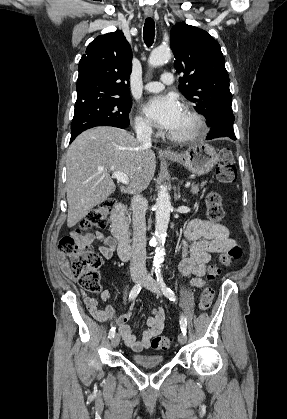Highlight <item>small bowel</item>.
I'll return each mask as SVG.
<instances>
[{"label":"small bowel","mask_w":287,"mask_h":419,"mask_svg":"<svg viewBox=\"0 0 287 419\" xmlns=\"http://www.w3.org/2000/svg\"><path fill=\"white\" fill-rule=\"evenodd\" d=\"M185 236L186 240L182 244V258L179 270L183 276H193L190 281L191 286L202 288L206 285L203 276L206 273L212 254L228 250L235 245L236 241L230 237L226 226L202 220L191 221L188 224ZM84 239L89 243L94 241L101 242L98 250L106 259L111 258L118 248L117 240L113 236L104 235L102 232L87 234L84 236ZM58 262L63 273L70 276V266L66 258L60 255ZM111 297V293L108 290H103L100 294V299L104 302L109 301ZM83 298L93 318L100 322L116 321L119 333L126 346L134 352H141L149 348L151 341L164 330L165 313L161 308L156 309L153 316L148 318L147 329L143 332L142 338L138 340L132 334L128 324L129 314L116 317L115 310L111 305H106L102 308L97 298L88 296L86 293H83Z\"/></svg>","instance_id":"1"}]
</instances>
